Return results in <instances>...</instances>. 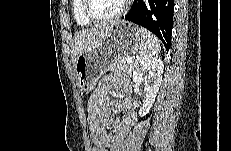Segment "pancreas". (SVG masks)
<instances>
[{
    "instance_id": "cf45deb5",
    "label": "pancreas",
    "mask_w": 231,
    "mask_h": 151,
    "mask_svg": "<svg viewBox=\"0 0 231 151\" xmlns=\"http://www.w3.org/2000/svg\"><path fill=\"white\" fill-rule=\"evenodd\" d=\"M126 57L124 56H121L119 58H117L111 65L110 69L112 71H125V72H130V70L132 69L133 67V62L130 61V62H127L126 60Z\"/></svg>"
}]
</instances>
